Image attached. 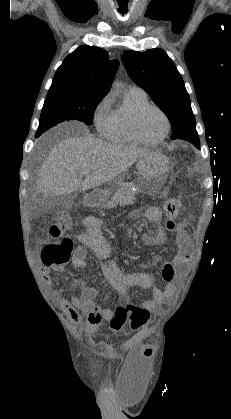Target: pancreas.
I'll return each instance as SVG.
<instances>
[{"instance_id":"cf45deb5","label":"pancreas","mask_w":231,"mask_h":419,"mask_svg":"<svg viewBox=\"0 0 231 419\" xmlns=\"http://www.w3.org/2000/svg\"><path fill=\"white\" fill-rule=\"evenodd\" d=\"M118 188H116L112 198L104 204V208H112L117 205H129L135 201V192L132 190L133 184L118 182Z\"/></svg>"}]
</instances>
